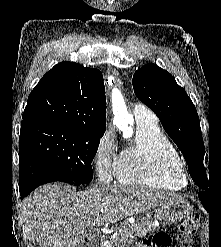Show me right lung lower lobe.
I'll use <instances>...</instances> for the list:
<instances>
[{"instance_id":"obj_1","label":"right lung lower lobe","mask_w":221,"mask_h":247,"mask_svg":"<svg viewBox=\"0 0 221 247\" xmlns=\"http://www.w3.org/2000/svg\"><path fill=\"white\" fill-rule=\"evenodd\" d=\"M54 181L66 182L76 186L79 184L63 175L51 165L30 155L20 156V196L26 197L36 187Z\"/></svg>"}]
</instances>
